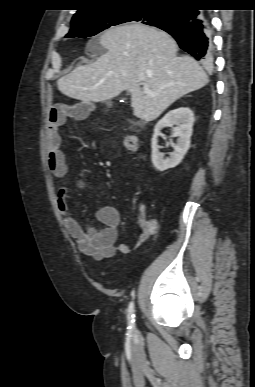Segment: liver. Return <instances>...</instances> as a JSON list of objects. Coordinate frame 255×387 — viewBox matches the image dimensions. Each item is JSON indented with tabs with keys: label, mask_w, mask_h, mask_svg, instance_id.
<instances>
[{
	"label": "liver",
	"mask_w": 255,
	"mask_h": 387,
	"mask_svg": "<svg viewBox=\"0 0 255 387\" xmlns=\"http://www.w3.org/2000/svg\"><path fill=\"white\" fill-rule=\"evenodd\" d=\"M99 43L106 53L57 81L62 94L82 102H101L127 91L134 116L149 122L209 81L192 57L177 56L175 40L160 29L141 23L117 26L105 31ZM141 85L154 95L145 93Z\"/></svg>",
	"instance_id": "liver-1"
}]
</instances>
